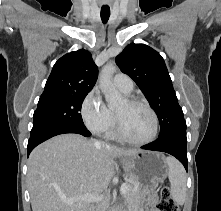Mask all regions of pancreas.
Returning a JSON list of instances; mask_svg holds the SVG:
<instances>
[{"instance_id":"pancreas-1","label":"pancreas","mask_w":221,"mask_h":211,"mask_svg":"<svg viewBox=\"0 0 221 211\" xmlns=\"http://www.w3.org/2000/svg\"><path fill=\"white\" fill-rule=\"evenodd\" d=\"M127 186L128 190L124 194V203L126 204L128 211H139L140 204L144 202L141 196L139 184L129 179ZM98 207L99 211H106L105 206Z\"/></svg>"}]
</instances>
